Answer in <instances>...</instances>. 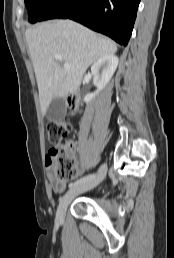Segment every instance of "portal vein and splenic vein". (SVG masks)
<instances>
[{"label":"portal vein and splenic vein","mask_w":174,"mask_h":258,"mask_svg":"<svg viewBox=\"0 0 174 258\" xmlns=\"http://www.w3.org/2000/svg\"><path fill=\"white\" fill-rule=\"evenodd\" d=\"M55 59H56V60H61V57L58 56V55H56V56H55ZM70 68H71V66H70L69 64H64V69L68 70V69H70Z\"/></svg>","instance_id":"18ae733b"}]
</instances>
